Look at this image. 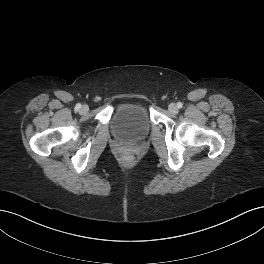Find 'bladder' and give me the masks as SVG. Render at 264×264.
Masks as SVG:
<instances>
[{
    "mask_svg": "<svg viewBox=\"0 0 264 264\" xmlns=\"http://www.w3.org/2000/svg\"><path fill=\"white\" fill-rule=\"evenodd\" d=\"M147 109L138 103H122L112 115L111 127L116 138L125 143H137L145 139L151 130Z\"/></svg>",
    "mask_w": 264,
    "mask_h": 264,
    "instance_id": "1",
    "label": "bladder"
}]
</instances>
